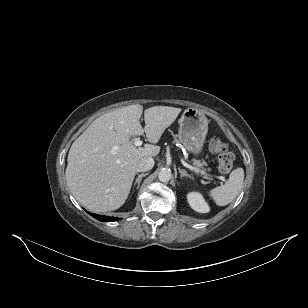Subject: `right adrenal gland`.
<instances>
[{"label": "right adrenal gland", "instance_id": "obj_1", "mask_svg": "<svg viewBox=\"0 0 308 308\" xmlns=\"http://www.w3.org/2000/svg\"><path fill=\"white\" fill-rule=\"evenodd\" d=\"M146 175H148V173H142V174H139L138 177L136 178L134 186H136L137 184V189H139L142 177H145Z\"/></svg>", "mask_w": 308, "mask_h": 308}]
</instances>
